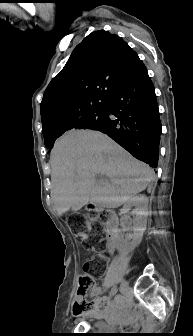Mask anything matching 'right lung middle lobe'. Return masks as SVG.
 I'll return each instance as SVG.
<instances>
[{
    "mask_svg": "<svg viewBox=\"0 0 193 336\" xmlns=\"http://www.w3.org/2000/svg\"><path fill=\"white\" fill-rule=\"evenodd\" d=\"M108 115L106 108L98 109L88 114L83 115L75 121L72 128L74 129H92L99 130L107 122ZM58 137H53L45 140V146L51 149L54 145L55 140Z\"/></svg>",
    "mask_w": 193,
    "mask_h": 336,
    "instance_id": "obj_1",
    "label": "right lung middle lobe"
}]
</instances>
